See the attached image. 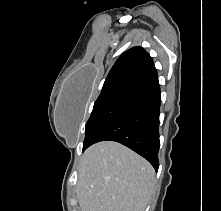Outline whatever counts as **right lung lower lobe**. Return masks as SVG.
<instances>
[{"label":"right lung lower lobe","instance_id":"1","mask_svg":"<svg viewBox=\"0 0 221 211\" xmlns=\"http://www.w3.org/2000/svg\"><path fill=\"white\" fill-rule=\"evenodd\" d=\"M160 103L158 81L138 89L83 151L99 141H116L143 156L157 171Z\"/></svg>","mask_w":221,"mask_h":211}]
</instances>
